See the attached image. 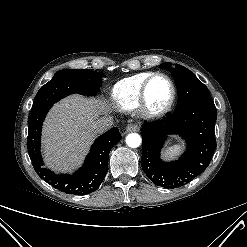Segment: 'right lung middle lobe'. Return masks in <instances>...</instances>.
Instances as JSON below:
<instances>
[{
    "label": "right lung middle lobe",
    "mask_w": 247,
    "mask_h": 247,
    "mask_svg": "<svg viewBox=\"0 0 247 247\" xmlns=\"http://www.w3.org/2000/svg\"><path fill=\"white\" fill-rule=\"evenodd\" d=\"M102 74L92 70H60L40 88L31 112L51 106L63 97L78 93L95 96L102 84Z\"/></svg>",
    "instance_id": "obj_1"
}]
</instances>
